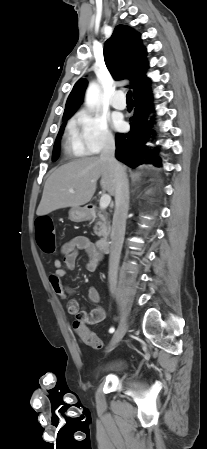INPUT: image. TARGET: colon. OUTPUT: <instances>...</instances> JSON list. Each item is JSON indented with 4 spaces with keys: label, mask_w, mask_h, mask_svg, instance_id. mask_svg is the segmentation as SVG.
I'll use <instances>...</instances> for the list:
<instances>
[{
    "label": "colon",
    "mask_w": 207,
    "mask_h": 449,
    "mask_svg": "<svg viewBox=\"0 0 207 449\" xmlns=\"http://www.w3.org/2000/svg\"><path fill=\"white\" fill-rule=\"evenodd\" d=\"M52 221L47 216L36 219V239L38 246L44 253H53L55 250V235ZM73 327L84 343L92 348L99 349L102 346L100 338L90 331L82 320L76 319Z\"/></svg>",
    "instance_id": "colon-1"
}]
</instances>
